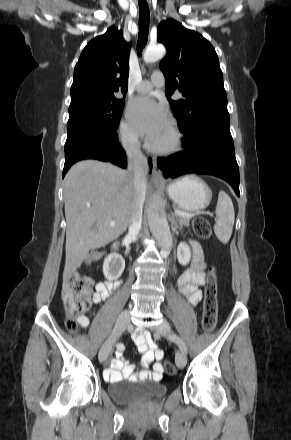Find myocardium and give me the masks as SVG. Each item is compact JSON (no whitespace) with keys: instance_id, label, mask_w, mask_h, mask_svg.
<instances>
[{"instance_id":"f54148a6","label":"myocardium","mask_w":291,"mask_h":440,"mask_svg":"<svg viewBox=\"0 0 291 440\" xmlns=\"http://www.w3.org/2000/svg\"><path fill=\"white\" fill-rule=\"evenodd\" d=\"M169 130L171 134V140L166 145H156L154 143H149L148 148L150 151L159 155H172L181 150L183 145L182 133L174 122L169 125Z\"/></svg>"}]
</instances>
